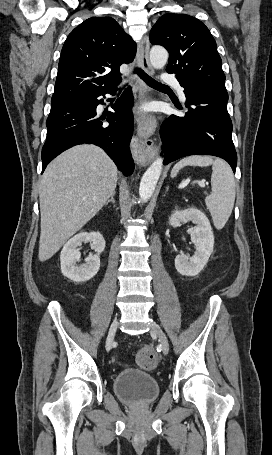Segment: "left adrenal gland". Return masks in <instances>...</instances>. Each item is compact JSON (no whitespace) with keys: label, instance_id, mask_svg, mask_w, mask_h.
I'll list each match as a JSON object with an SVG mask.
<instances>
[{"label":"left adrenal gland","instance_id":"left-adrenal-gland-1","mask_svg":"<svg viewBox=\"0 0 272 455\" xmlns=\"http://www.w3.org/2000/svg\"><path fill=\"white\" fill-rule=\"evenodd\" d=\"M169 187L166 188V191H168Z\"/></svg>","mask_w":272,"mask_h":455}]
</instances>
